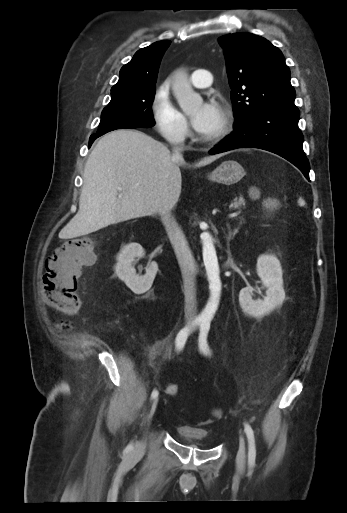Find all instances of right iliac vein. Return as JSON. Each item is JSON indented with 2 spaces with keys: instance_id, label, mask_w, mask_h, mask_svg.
<instances>
[{
  "instance_id": "right-iliac-vein-1",
  "label": "right iliac vein",
  "mask_w": 347,
  "mask_h": 513,
  "mask_svg": "<svg viewBox=\"0 0 347 513\" xmlns=\"http://www.w3.org/2000/svg\"><path fill=\"white\" fill-rule=\"evenodd\" d=\"M157 405H158V399H155L151 406H150V409H149V414H148V422H150V420L152 419L155 411H156V408H157ZM145 448V441L144 440H141L139 442L136 443V446H135V453L136 454H140L142 453V451L144 450Z\"/></svg>"
}]
</instances>
